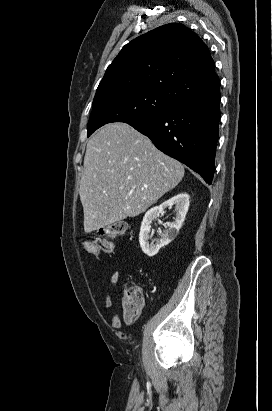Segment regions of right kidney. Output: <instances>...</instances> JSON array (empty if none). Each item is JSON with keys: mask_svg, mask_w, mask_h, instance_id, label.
Wrapping results in <instances>:
<instances>
[{"mask_svg": "<svg viewBox=\"0 0 272 411\" xmlns=\"http://www.w3.org/2000/svg\"><path fill=\"white\" fill-rule=\"evenodd\" d=\"M175 205L176 218L174 222L168 224L167 231L161 236L160 239L156 240L155 244L149 245V239L152 235H149L151 224L153 220L159 217V214L168 207ZM189 208V195L187 193H179L176 196L170 198L169 200L163 202L159 206H155L148 210L143 218L140 233H139V242L142 248V251L149 257L156 255L159 250L168 245L175 237L178 235L179 229L182 226V223L185 220Z\"/></svg>", "mask_w": 272, "mask_h": 411, "instance_id": "1", "label": "right kidney"}]
</instances>
